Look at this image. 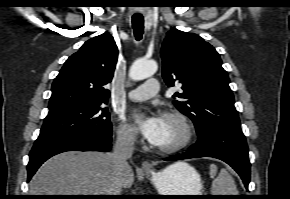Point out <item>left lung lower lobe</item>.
I'll list each match as a JSON object with an SVG mask.
<instances>
[{"mask_svg":"<svg viewBox=\"0 0 290 199\" xmlns=\"http://www.w3.org/2000/svg\"><path fill=\"white\" fill-rule=\"evenodd\" d=\"M199 140L188 152L166 161L213 157L229 164L242 178L246 189L250 182L248 147L241 128L209 125L197 131Z\"/></svg>","mask_w":290,"mask_h":199,"instance_id":"1","label":"left lung lower lobe"}]
</instances>
